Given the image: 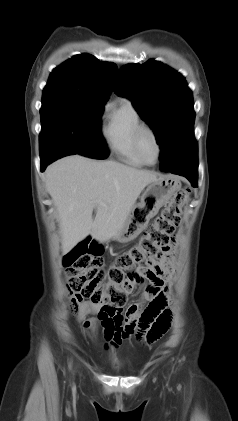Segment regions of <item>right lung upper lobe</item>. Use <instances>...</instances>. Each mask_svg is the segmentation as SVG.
I'll return each mask as SVG.
<instances>
[{
	"label": "right lung upper lobe",
	"instance_id": "right-lung-upper-lobe-1",
	"mask_svg": "<svg viewBox=\"0 0 238 421\" xmlns=\"http://www.w3.org/2000/svg\"><path fill=\"white\" fill-rule=\"evenodd\" d=\"M118 68L84 53L73 56L50 74L43 92L83 95L106 101Z\"/></svg>",
	"mask_w": 238,
	"mask_h": 421
}]
</instances>
